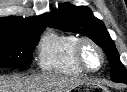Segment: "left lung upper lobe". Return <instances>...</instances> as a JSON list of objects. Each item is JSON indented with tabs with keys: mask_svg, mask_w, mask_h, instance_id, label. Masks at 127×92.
Instances as JSON below:
<instances>
[{
	"mask_svg": "<svg viewBox=\"0 0 127 92\" xmlns=\"http://www.w3.org/2000/svg\"><path fill=\"white\" fill-rule=\"evenodd\" d=\"M49 25L64 31L80 33L103 48L110 63V76L114 82L127 83V71L119 59L115 44L103 22L94 17L90 8L63 4L49 13Z\"/></svg>",
	"mask_w": 127,
	"mask_h": 92,
	"instance_id": "obj_1",
	"label": "left lung upper lobe"
}]
</instances>
